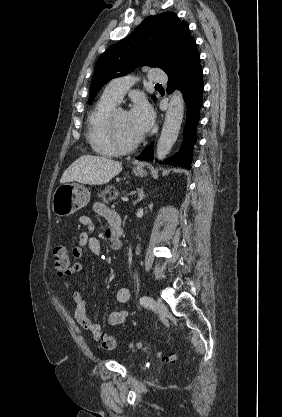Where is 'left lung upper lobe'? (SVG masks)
<instances>
[{
  "label": "left lung upper lobe",
  "mask_w": 282,
  "mask_h": 417,
  "mask_svg": "<svg viewBox=\"0 0 282 417\" xmlns=\"http://www.w3.org/2000/svg\"><path fill=\"white\" fill-rule=\"evenodd\" d=\"M187 22L173 12L149 16L125 39L110 46L97 60L91 81L89 104L112 78L140 66L159 67L165 72L190 41Z\"/></svg>",
  "instance_id": "5c2ea615"
}]
</instances>
